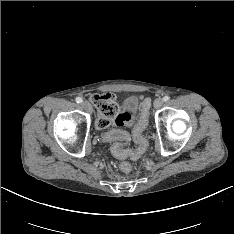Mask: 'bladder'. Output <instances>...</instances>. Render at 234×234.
Returning a JSON list of instances; mask_svg holds the SVG:
<instances>
[{
	"mask_svg": "<svg viewBox=\"0 0 234 234\" xmlns=\"http://www.w3.org/2000/svg\"><path fill=\"white\" fill-rule=\"evenodd\" d=\"M124 108L127 113H130L133 118L135 119L138 108H139V102L137 97L135 96H129L124 101Z\"/></svg>",
	"mask_w": 234,
	"mask_h": 234,
	"instance_id": "obj_1",
	"label": "bladder"
}]
</instances>
